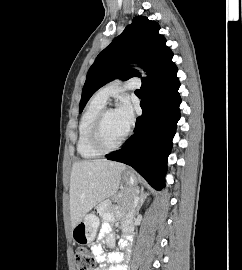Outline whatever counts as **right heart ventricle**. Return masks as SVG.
Listing matches in <instances>:
<instances>
[{"label":"right heart ventricle","instance_id":"e07e8e85","mask_svg":"<svg viewBox=\"0 0 242 270\" xmlns=\"http://www.w3.org/2000/svg\"><path fill=\"white\" fill-rule=\"evenodd\" d=\"M104 107V102H101L93 97L80 119L78 128L77 152L84 159H92L101 155L100 152L91 146L89 137L92 125Z\"/></svg>","mask_w":242,"mask_h":270}]
</instances>
